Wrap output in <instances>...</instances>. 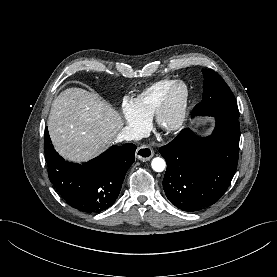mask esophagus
<instances>
[{
    "mask_svg": "<svg viewBox=\"0 0 277 277\" xmlns=\"http://www.w3.org/2000/svg\"><path fill=\"white\" fill-rule=\"evenodd\" d=\"M136 158L140 161H148L154 155V151L150 146L143 145L137 148Z\"/></svg>",
    "mask_w": 277,
    "mask_h": 277,
    "instance_id": "1",
    "label": "esophagus"
}]
</instances>
